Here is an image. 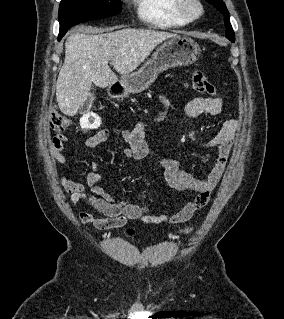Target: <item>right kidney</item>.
I'll return each mask as SVG.
<instances>
[{"instance_id":"ca27d5eb","label":"right kidney","mask_w":284,"mask_h":319,"mask_svg":"<svg viewBox=\"0 0 284 319\" xmlns=\"http://www.w3.org/2000/svg\"><path fill=\"white\" fill-rule=\"evenodd\" d=\"M100 124L101 119L95 113H86L80 119V126L82 129H96Z\"/></svg>"}]
</instances>
